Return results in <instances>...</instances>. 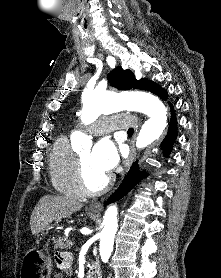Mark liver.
Masks as SVG:
<instances>
[{
    "label": "liver",
    "mask_w": 221,
    "mask_h": 278,
    "mask_svg": "<svg viewBox=\"0 0 221 278\" xmlns=\"http://www.w3.org/2000/svg\"><path fill=\"white\" fill-rule=\"evenodd\" d=\"M82 207L83 204L81 202L69 197L58 195L43 196L31 214L30 228L32 234L38 235L53 221L68 218Z\"/></svg>",
    "instance_id": "liver-1"
}]
</instances>
